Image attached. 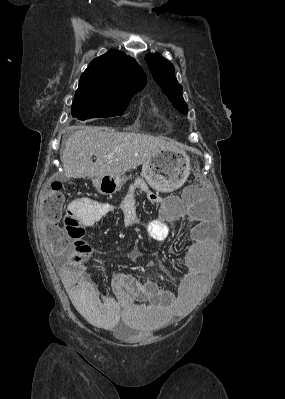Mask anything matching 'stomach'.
<instances>
[{
    "mask_svg": "<svg viewBox=\"0 0 285 399\" xmlns=\"http://www.w3.org/2000/svg\"><path fill=\"white\" fill-rule=\"evenodd\" d=\"M190 170V158L185 151L178 148L164 149L143 163L142 176L153 189L171 192L183 185ZM123 183L124 178L115 175L93 180L97 191L104 195L119 191Z\"/></svg>",
    "mask_w": 285,
    "mask_h": 399,
    "instance_id": "1",
    "label": "stomach"
}]
</instances>
